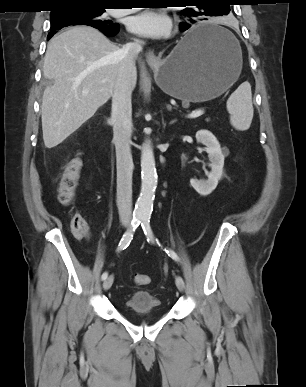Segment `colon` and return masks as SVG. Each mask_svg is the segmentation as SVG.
Listing matches in <instances>:
<instances>
[{"label":"colon","instance_id":"obj_1","mask_svg":"<svg viewBox=\"0 0 306 387\" xmlns=\"http://www.w3.org/2000/svg\"><path fill=\"white\" fill-rule=\"evenodd\" d=\"M82 165L81 157H74L65 165L58 180L57 197L59 202L64 206H68L74 201ZM70 228L75 237L83 238L89 233V222L83 215L76 214L71 219ZM132 280L138 286H145L151 282L150 277L145 274H135Z\"/></svg>","mask_w":306,"mask_h":387}]
</instances>
